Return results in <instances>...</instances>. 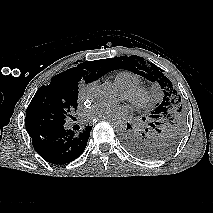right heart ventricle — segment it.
I'll use <instances>...</instances> for the list:
<instances>
[{
    "mask_svg": "<svg viewBox=\"0 0 213 213\" xmlns=\"http://www.w3.org/2000/svg\"><path fill=\"white\" fill-rule=\"evenodd\" d=\"M114 80L122 89L132 88L141 83L140 77L136 73L128 70L118 71L114 75Z\"/></svg>",
    "mask_w": 213,
    "mask_h": 213,
    "instance_id": "right-heart-ventricle-1",
    "label": "right heart ventricle"
}]
</instances>
